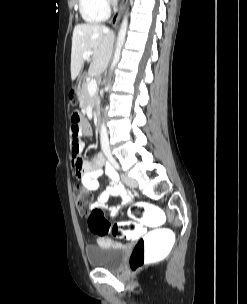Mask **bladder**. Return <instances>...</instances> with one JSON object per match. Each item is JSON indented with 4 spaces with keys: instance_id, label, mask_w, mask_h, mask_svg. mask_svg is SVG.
Wrapping results in <instances>:
<instances>
[{
    "instance_id": "1",
    "label": "bladder",
    "mask_w": 247,
    "mask_h": 304,
    "mask_svg": "<svg viewBox=\"0 0 247 304\" xmlns=\"http://www.w3.org/2000/svg\"><path fill=\"white\" fill-rule=\"evenodd\" d=\"M88 265L94 269L116 271L121 268L127 248L119 243H102L86 247Z\"/></svg>"
}]
</instances>
